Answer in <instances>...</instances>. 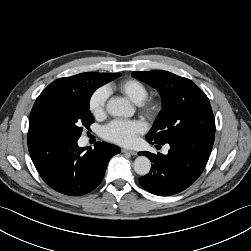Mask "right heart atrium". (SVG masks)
<instances>
[{"instance_id":"d8ad5b80","label":"right heart atrium","mask_w":251,"mask_h":251,"mask_svg":"<svg viewBox=\"0 0 251 251\" xmlns=\"http://www.w3.org/2000/svg\"><path fill=\"white\" fill-rule=\"evenodd\" d=\"M108 96L109 91L104 86L99 87L91 94L88 102V108L94 117L100 118L105 114Z\"/></svg>"}]
</instances>
